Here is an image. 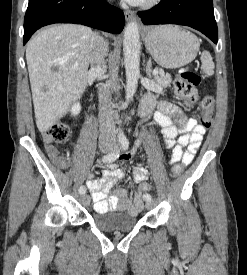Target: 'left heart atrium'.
Returning <instances> with one entry per match:
<instances>
[{"mask_svg":"<svg viewBox=\"0 0 247 275\" xmlns=\"http://www.w3.org/2000/svg\"><path fill=\"white\" fill-rule=\"evenodd\" d=\"M125 1L128 2V3H130V4H139L143 0H125Z\"/></svg>","mask_w":247,"mask_h":275,"instance_id":"left-heart-atrium-1","label":"left heart atrium"}]
</instances>
